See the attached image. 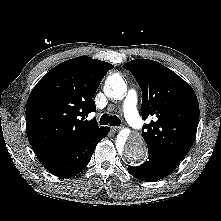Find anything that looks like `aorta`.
<instances>
[{
	"label": "aorta",
	"mask_w": 221,
	"mask_h": 221,
	"mask_svg": "<svg viewBox=\"0 0 221 221\" xmlns=\"http://www.w3.org/2000/svg\"><path fill=\"white\" fill-rule=\"evenodd\" d=\"M104 92L108 98L122 100L126 96L127 86L119 74H113L107 80ZM116 147L130 162L139 163L147 156V146L139 133L122 132L117 138Z\"/></svg>",
	"instance_id": "aorta-1"
}]
</instances>
